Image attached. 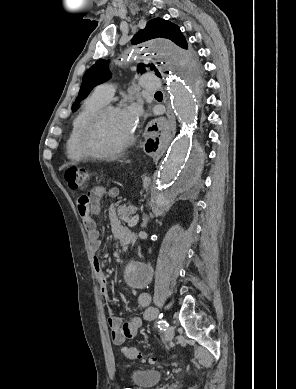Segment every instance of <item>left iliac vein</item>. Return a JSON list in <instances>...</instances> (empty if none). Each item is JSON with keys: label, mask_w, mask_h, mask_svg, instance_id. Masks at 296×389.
Listing matches in <instances>:
<instances>
[{"label": "left iliac vein", "mask_w": 296, "mask_h": 389, "mask_svg": "<svg viewBox=\"0 0 296 389\" xmlns=\"http://www.w3.org/2000/svg\"><path fill=\"white\" fill-rule=\"evenodd\" d=\"M174 337V327L169 326L165 331V338L167 341H171Z\"/></svg>", "instance_id": "1"}]
</instances>
